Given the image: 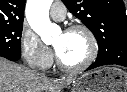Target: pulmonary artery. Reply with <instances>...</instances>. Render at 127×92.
<instances>
[{"label":"pulmonary artery","instance_id":"1","mask_svg":"<svg viewBox=\"0 0 127 92\" xmlns=\"http://www.w3.org/2000/svg\"><path fill=\"white\" fill-rule=\"evenodd\" d=\"M50 16L55 20H63L66 15V9L60 1H55L49 10Z\"/></svg>","mask_w":127,"mask_h":92}]
</instances>
